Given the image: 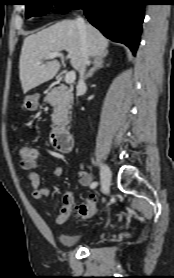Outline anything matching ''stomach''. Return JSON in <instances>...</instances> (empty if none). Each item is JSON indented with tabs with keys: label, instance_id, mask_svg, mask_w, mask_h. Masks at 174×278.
Listing matches in <instances>:
<instances>
[{
	"label": "stomach",
	"instance_id": "stomach-1",
	"mask_svg": "<svg viewBox=\"0 0 174 278\" xmlns=\"http://www.w3.org/2000/svg\"><path fill=\"white\" fill-rule=\"evenodd\" d=\"M24 107L28 110H36L38 107V97L35 95H28L24 100Z\"/></svg>",
	"mask_w": 174,
	"mask_h": 278
}]
</instances>
